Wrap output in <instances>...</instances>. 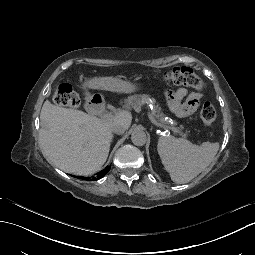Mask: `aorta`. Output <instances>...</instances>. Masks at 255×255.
Here are the masks:
<instances>
[{"label":"aorta","instance_id":"1","mask_svg":"<svg viewBox=\"0 0 255 255\" xmlns=\"http://www.w3.org/2000/svg\"><path fill=\"white\" fill-rule=\"evenodd\" d=\"M131 140L136 146H143L147 141L146 133L143 130L136 129L131 134Z\"/></svg>","mask_w":255,"mask_h":255}]
</instances>
